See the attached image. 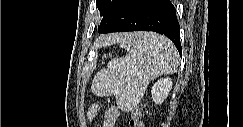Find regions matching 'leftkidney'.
I'll list each match as a JSON object with an SVG mask.
<instances>
[{
	"mask_svg": "<svg viewBox=\"0 0 243 127\" xmlns=\"http://www.w3.org/2000/svg\"><path fill=\"white\" fill-rule=\"evenodd\" d=\"M172 89V81L170 78H162L158 80L151 90L152 100L155 104H162Z\"/></svg>",
	"mask_w": 243,
	"mask_h": 127,
	"instance_id": "5707ae66",
	"label": "left kidney"
}]
</instances>
